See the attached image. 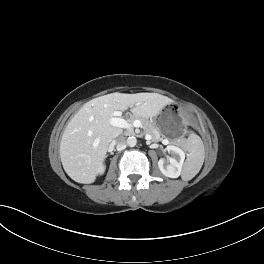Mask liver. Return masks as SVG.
<instances>
[{
	"instance_id": "liver-1",
	"label": "liver",
	"mask_w": 264,
	"mask_h": 264,
	"mask_svg": "<svg viewBox=\"0 0 264 264\" xmlns=\"http://www.w3.org/2000/svg\"><path fill=\"white\" fill-rule=\"evenodd\" d=\"M172 100L157 93H111L87 102L71 119L62 135L60 158L67 175L78 183L96 180L110 142L123 130L110 124L114 111L154 117Z\"/></svg>"
}]
</instances>
